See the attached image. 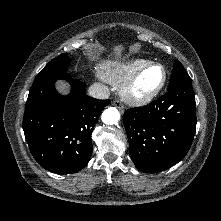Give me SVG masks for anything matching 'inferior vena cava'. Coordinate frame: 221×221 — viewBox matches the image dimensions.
<instances>
[{
    "label": "inferior vena cava",
    "mask_w": 221,
    "mask_h": 221,
    "mask_svg": "<svg viewBox=\"0 0 221 221\" xmlns=\"http://www.w3.org/2000/svg\"><path fill=\"white\" fill-rule=\"evenodd\" d=\"M88 93L91 97L97 99H108L110 91L107 86L101 83H94L89 87Z\"/></svg>",
    "instance_id": "inferior-vena-cava-1"
}]
</instances>
